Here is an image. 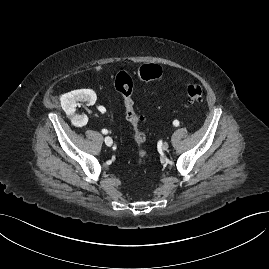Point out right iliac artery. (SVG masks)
I'll return each instance as SVG.
<instances>
[{
	"label": "right iliac artery",
	"instance_id": "obj_1",
	"mask_svg": "<svg viewBox=\"0 0 269 269\" xmlns=\"http://www.w3.org/2000/svg\"><path fill=\"white\" fill-rule=\"evenodd\" d=\"M102 133L103 134H107L108 133V130L107 129H102Z\"/></svg>",
	"mask_w": 269,
	"mask_h": 269
}]
</instances>
